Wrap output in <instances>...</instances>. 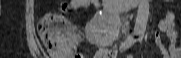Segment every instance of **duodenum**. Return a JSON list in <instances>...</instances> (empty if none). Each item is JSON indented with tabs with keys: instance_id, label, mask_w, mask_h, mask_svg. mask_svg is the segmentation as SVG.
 <instances>
[{
	"instance_id": "410a0bca",
	"label": "duodenum",
	"mask_w": 181,
	"mask_h": 58,
	"mask_svg": "<svg viewBox=\"0 0 181 58\" xmlns=\"http://www.w3.org/2000/svg\"><path fill=\"white\" fill-rule=\"evenodd\" d=\"M140 0H103L104 6L115 13H122L125 10L135 7Z\"/></svg>"
}]
</instances>
